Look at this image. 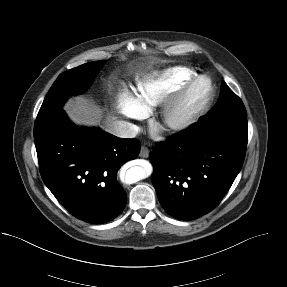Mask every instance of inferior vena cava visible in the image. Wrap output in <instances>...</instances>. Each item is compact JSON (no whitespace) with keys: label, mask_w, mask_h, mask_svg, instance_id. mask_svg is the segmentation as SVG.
<instances>
[{"label":"inferior vena cava","mask_w":287,"mask_h":287,"mask_svg":"<svg viewBox=\"0 0 287 287\" xmlns=\"http://www.w3.org/2000/svg\"><path fill=\"white\" fill-rule=\"evenodd\" d=\"M109 132L120 138H135L138 128L136 125L126 121H114Z\"/></svg>","instance_id":"obj_1"}]
</instances>
